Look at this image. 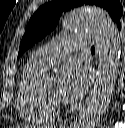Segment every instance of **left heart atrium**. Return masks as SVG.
Returning a JSON list of instances; mask_svg holds the SVG:
<instances>
[{
  "label": "left heart atrium",
  "instance_id": "obj_1",
  "mask_svg": "<svg viewBox=\"0 0 125 128\" xmlns=\"http://www.w3.org/2000/svg\"><path fill=\"white\" fill-rule=\"evenodd\" d=\"M91 81L88 69L78 62L67 63L58 78V96L65 103H74L82 98Z\"/></svg>",
  "mask_w": 125,
  "mask_h": 128
}]
</instances>
